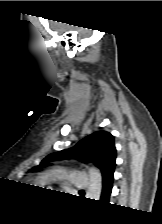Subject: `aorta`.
Instances as JSON below:
<instances>
[{
    "mask_svg": "<svg viewBox=\"0 0 162 224\" xmlns=\"http://www.w3.org/2000/svg\"><path fill=\"white\" fill-rule=\"evenodd\" d=\"M102 192V176L100 171L92 166L89 169V186L86 198L99 200Z\"/></svg>",
    "mask_w": 162,
    "mask_h": 224,
    "instance_id": "762f6f07",
    "label": "aorta"
}]
</instances>
